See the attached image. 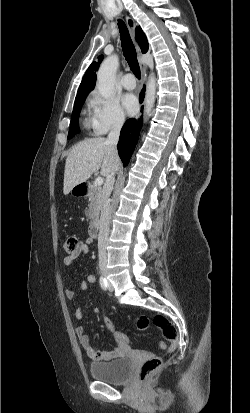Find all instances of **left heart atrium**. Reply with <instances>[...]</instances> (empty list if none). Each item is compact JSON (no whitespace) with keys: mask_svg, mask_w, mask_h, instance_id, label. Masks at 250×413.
<instances>
[{"mask_svg":"<svg viewBox=\"0 0 250 413\" xmlns=\"http://www.w3.org/2000/svg\"><path fill=\"white\" fill-rule=\"evenodd\" d=\"M122 104L126 112L130 115H133L138 108V102L135 95L127 93L122 98Z\"/></svg>","mask_w":250,"mask_h":413,"instance_id":"1","label":"left heart atrium"}]
</instances>
